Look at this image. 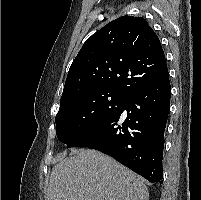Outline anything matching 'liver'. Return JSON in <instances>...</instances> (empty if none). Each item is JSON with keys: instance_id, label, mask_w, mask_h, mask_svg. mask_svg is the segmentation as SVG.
Returning <instances> with one entry per match:
<instances>
[{"instance_id": "1", "label": "liver", "mask_w": 201, "mask_h": 200, "mask_svg": "<svg viewBox=\"0 0 201 200\" xmlns=\"http://www.w3.org/2000/svg\"><path fill=\"white\" fill-rule=\"evenodd\" d=\"M148 189L132 171L92 149H74L56 164L46 200H147Z\"/></svg>"}]
</instances>
